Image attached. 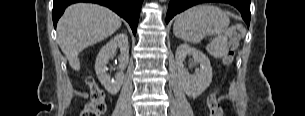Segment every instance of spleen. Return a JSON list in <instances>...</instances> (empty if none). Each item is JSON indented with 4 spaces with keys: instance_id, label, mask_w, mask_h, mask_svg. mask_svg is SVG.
I'll return each mask as SVG.
<instances>
[{
    "instance_id": "obj_1",
    "label": "spleen",
    "mask_w": 305,
    "mask_h": 116,
    "mask_svg": "<svg viewBox=\"0 0 305 116\" xmlns=\"http://www.w3.org/2000/svg\"><path fill=\"white\" fill-rule=\"evenodd\" d=\"M228 15L219 7L201 4L193 6L175 17L174 35L183 41L198 44L208 35H217L212 44L223 46V34L229 26Z\"/></svg>"
}]
</instances>
